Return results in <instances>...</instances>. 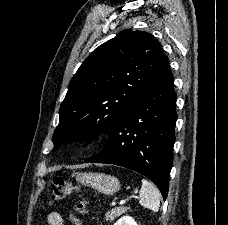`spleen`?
Returning a JSON list of instances; mask_svg holds the SVG:
<instances>
[{
  "label": "spleen",
  "mask_w": 228,
  "mask_h": 225,
  "mask_svg": "<svg viewBox=\"0 0 228 225\" xmlns=\"http://www.w3.org/2000/svg\"><path fill=\"white\" fill-rule=\"evenodd\" d=\"M139 203L145 209H150L153 213H157L160 207V191L153 183H149L146 179H142V187L139 191Z\"/></svg>",
  "instance_id": "obj_1"
}]
</instances>
